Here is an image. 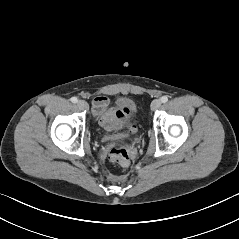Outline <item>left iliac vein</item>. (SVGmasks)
Listing matches in <instances>:
<instances>
[{
	"mask_svg": "<svg viewBox=\"0 0 239 239\" xmlns=\"http://www.w3.org/2000/svg\"><path fill=\"white\" fill-rule=\"evenodd\" d=\"M160 106H161V100H160V99H155V100H153L152 103H151V109H152L153 111L159 109Z\"/></svg>",
	"mask_w": 239,
	"mask_h": 239,
	"instance_id": "left-iliac-vein-1",
	"label": "left iliac vein"
}]
</instances>
